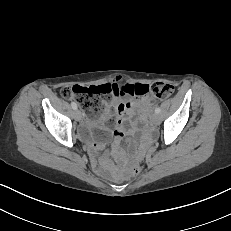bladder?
<instances>
[{
  "label": "bladder",
  "mask_w": 231,
  "mask_h": 231,
  "mask_svg": "<svg viewBox=\"0 0 231 231\" xmlns=\"http://www.w3.org/2000/svg\"><path fill=\"white\" fill-rule=\"evenodd\" d=\"M92 132L86 129H82L79 132V137L82 141H87L91 136Z\"/></svg>",
  "instance_id": "1"
}]
</instances>
